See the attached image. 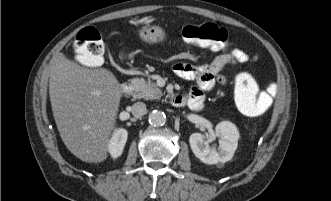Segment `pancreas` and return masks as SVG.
<instances>
[{"label": "pancreas", "instance_id": "pancreas-1", "mask_svg": "<svg viewBox=\"0 0 331 201\" xmlns=\"http://www.w3.org/2000/svg\"><path fill=\"white\" fill-rule=\"evenodd\" d=\"M131 83L134 87V97L153 100L162 96L161 89L152 81L146 82L143 78H133Z\"/></svg>", "mask_w": 331, "mask_h": 201}]
</instances>
